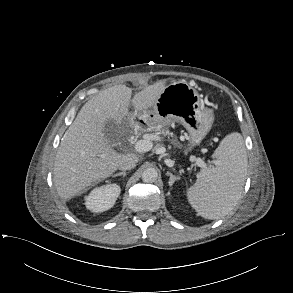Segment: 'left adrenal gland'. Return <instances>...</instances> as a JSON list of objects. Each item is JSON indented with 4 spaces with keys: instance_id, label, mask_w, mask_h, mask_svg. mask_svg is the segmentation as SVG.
Wrapping results in <instances>:
<instances>
[{
    "instance_id": "left-adrenal-gland-1",
    "label": "left adrenal gland",
    "mask_w": 293,
    "mask_h": 293,
    "mask_svg": "<svg viewBox=\"0 0 293 293\" xmlns=\"http://www.w3.org/2000/svg\"><path fill=\"white\" fill-rule=\"evenodd\" d=\"M168 176H170L169 178V186L172 187V185L174 184L175 181H178L180 178L179 177H176L175 175H173L172 173L170 172H167L166 173Z\"/></svg>"
}]
</instances>
